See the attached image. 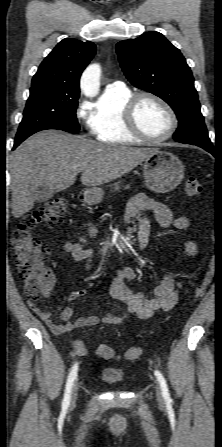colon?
Instances as JSON below:
<instances>
[{"label":"colon","instance_id":"5ec220e1","mask_svg":"<svg viewBox=\"0 0 222 447\" xmlns=\"http://www.w3.org/2000/svg\"><path fill=\"white\" fill-rule=\"evenodd\" d=\"M185 192L189 197H200L202 185L199 180L195 177H189L186 181ZM67 206L68 202L64 197L52 199L41 209L27 215L13 233L11 239L13 260L18 269L19 277L24 282V291L28 302L39 300L42 290L52 277V273L45 265L50 257V248L46 243L35 238L32 231L41 225L61 222ZM215 270L216 263L211 258L201 282L194 290L193 302L200 300L205 295L212 282ZM96 353L104 359H114L117 356L115 350L106 344H99L96 347ZM140 354V348L132 346L125 351L124 357L128 361H135L140 357Z\"/></svg>","mask_w":222,"mask_h":447}]
</instances>
